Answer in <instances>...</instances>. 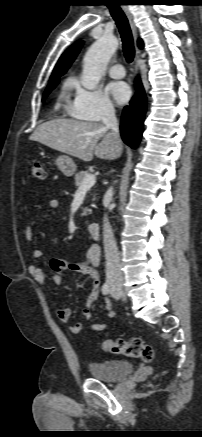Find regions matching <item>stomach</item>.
Instances as JSON below:
<instances>
[{
  "label": "stomach",
  "instance_id": "1",
  "mask_svg": "<svg viewBox=\"0 0 202 437\" xmlns=\"http://www.w3.org/2000/svg\"><path fill=\"white\" fill-rule=\"evenodd\" d=\"M55 164L57 165L59 170L67 177L73 176L77 169L74 161L66 155L59 156L55 160Z\"/></svg>",
  "mask_w": 202,
  "mask_h": 437
}]
</instances>
